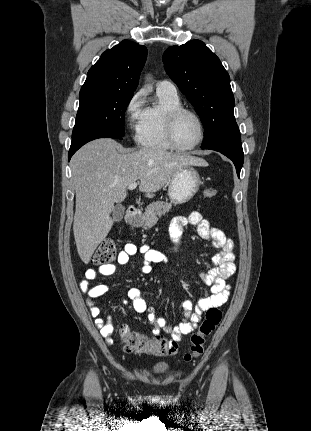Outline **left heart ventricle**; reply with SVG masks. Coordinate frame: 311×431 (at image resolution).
<instances>
[{"instance_id": "left-heart-ventricle-1", "label": "left heart ventricle", "mask_w": 311, "mask_h": 431, "mask_svg": "<svg viewBox=\"0 0 311 431\" xmlns=\"http://www.w3.org/2000/svg\"><path fill=\"white\" fill-rule=\"evenodd\" d=\"M201 134L198 119L189 113L181 115L176 124V139L179 145L188 147L197 142Z\"/></svg>"}]
</instances>
